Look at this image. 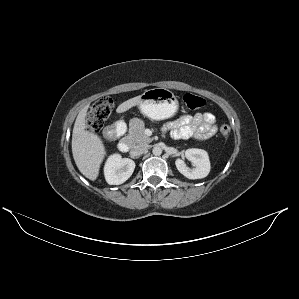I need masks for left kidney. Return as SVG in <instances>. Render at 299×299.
I'll return each instance as SVG.
<instances>
[{
  "label": "left kidney",
  "mask_w": 299,
  "mask_h": 299,
  "mask_svg": "<svg viewBox=\"0 0 299 299\" xmlns=\"http://www.w3.org/2000/svg\"><path fill=\"white\" fill-rule=\"evenodd\" d=\"M185 157L192 162L194 168H189L182 159H176L178 171L188 179H202L210 172L208 153L202 149L191 148L185 151Z\"/></svg>",
  "instance_id": "5707ae66"
}]
</instances>
